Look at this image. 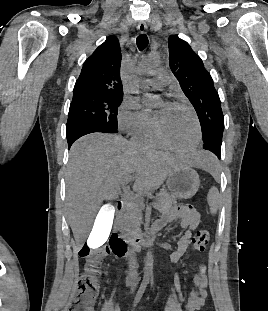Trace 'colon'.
I'll list each match as a JSON object with an SVG mask.
<instances>
[{"instance_id": "colon-1", "label": "colon", "mask_w": 268, "mask_h": 311, "mask_svg": "<svg viewBox=\"0 0 268 311\" xmlns=\"http://www.w3.org/2000/svg\"><path fill=\"white\" fill-rule=\"evenodd\" d=\"M209 240L210 232L208 230L198 231L193 238V249L197 252L204 251ZM111 252L110 248L105 246H100L99 249H90L89 245L85 244L82 247L80 257L84 260L83 272L66 311H94L100 287L102 264Z\"/></svg>"}]
</instances>
